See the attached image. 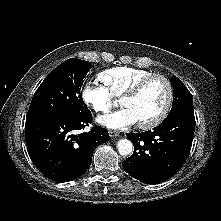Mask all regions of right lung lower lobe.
Listing matches in <instances>:
<instances>
[{"label":"right lung lower lobe","mask_w":221,"mask_h":221,"mask_svg":"<svg viewBox=\"0 0 221 221\" xmlns=\"http://www.w3.org/2000/svg\"><path fill=\"white\" fill-rule=\"evenodd\" d=\"M92 114L77 118L40 116L26 119L25 139L36 168L57 182L73 180L87 171L95 148L109 141L100 126L76 134L91 123Z\"/></svg>","instance_id":"right-lung-lower-lobe-1"}]
</instances>
